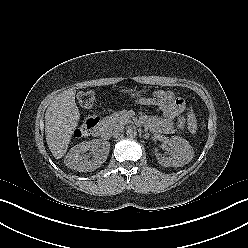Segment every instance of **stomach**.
<instances>
[{
    "label": "stomach",
    "mask_w": 248,
    "mask_h": 248,
    "mask_svg": "<svg viewBox=\"0 0 248 248\" xmlns=\"http://www.w3.org/2000/svg\"><path fill=\"white\" fill-rule=\"evenodd\" d=\"M143 91H137L134 94H132V96H140L142 94Z\"/></svg>",
    "instance_id": "1"
}]
</instances>
